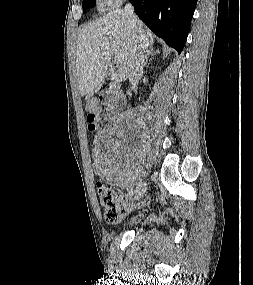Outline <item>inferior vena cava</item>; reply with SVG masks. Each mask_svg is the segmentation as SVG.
Segmentation results:
<instances>
[{
  "label": "inferior vena cava",
  "instance_id": "obj_1",
  "mask_svg": "<svg viewBox=\"0 0 253 285\" xmlns=\"http://www.w3.org/2000/svg\"><path fill=\"white\" fill-rule=\"evenodd\" d=\"M124 12L128 17V20L130 22V25L133 29H137L138 25V19L134 13V7L131 3H127ZM144 64V55L143 50L141 49H135L134 54L132 55L130 68H129V82L132 85V90L137 93V85H138V77L143 72V65Z\"/></svg>",
  "mask_w": 253,
  "mask_h": 285
}]
</instances>
